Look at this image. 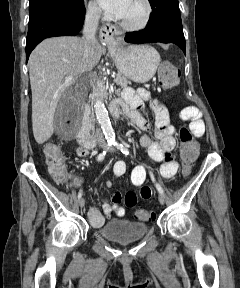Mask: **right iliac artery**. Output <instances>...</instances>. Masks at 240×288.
<instances>
[{
	"label": "right iliac artery",
	"instance_id": "1",
	"mask_svg": "<svg viewBox=\"0 0 240 288\" xmlns=\"http://www.w3.org/2000/svg\"><path fill=\"white\" fill-rule=\"evenodd\" d=\"M112 144H113V141H112V140L108 141V149H109V147H110ZM108 149L105 150V151H103L102 153H100V154L97 156V161H102V160L105 158V155H106ZM82 194H83V191H82V189H81V190L79 191V193H78V199H80V198L82 197Z\"/></svg>",
	"mask_w": 240,
	"mask_h": 288
}]
</instances>
